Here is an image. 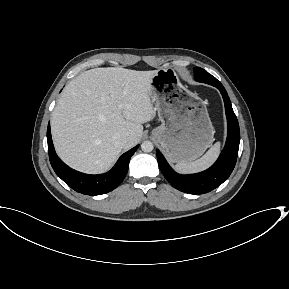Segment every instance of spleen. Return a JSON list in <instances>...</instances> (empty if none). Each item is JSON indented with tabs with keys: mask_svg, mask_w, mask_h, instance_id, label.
I'll return each instance as SVG.
<instances>
[{
	"mask_svg": "<svg viewBox=\"0 0 289 289\" xmlns=\"http://www.w3.org/2000/svg\"><path fill=\"white\" fill-rule=\"evenodd\" d=\"M220 152V143H215L201 158L193 162H179L175 169L180 173H194L207 169L216 160Z\"/></svg>",
	"mask_w": 289,
	"mask_h": 289,
	"instance_id": "spleen-1",
	"label": "spleen"
}]
</instances>
